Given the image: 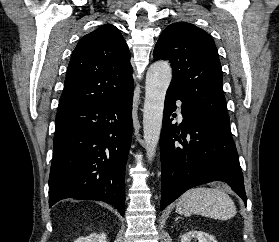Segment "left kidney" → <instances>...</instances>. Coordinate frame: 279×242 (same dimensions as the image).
I'll return each instance as SVG.
<instances>
[{
	"instance_id": "left-kidney-1",
	"label": "left kidney",
	"mask_w": 279,
	"mask_h": 242,
	"mask_svg": "<svg viewBox=\"0 0 279 242\" xmlns=\"http://www.w3.org/2000/svg\"><path fill=\"white\" fill-rule=\"evenodd\" d=\"M192 239H197L198 242H217L212 235L202 231H190L185 233L181 238V242H191Z\"/></svg>"
}]
</instances>
